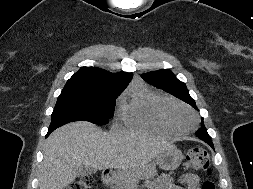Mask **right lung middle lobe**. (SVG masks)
<instances>
[{
	"instance_id": "1",
	"label": "right lung middle lobe",
	"mask_w": 253,
	"mask_h": 189,
	"mask_svg": "<svg viewBox=\"0 0 253 189\" xmlns=\"http://www.w3.org/2000/svg\"><path fill=\"white\" fill-rule=\"evenodd\" d=\"M123 90H62L52 113L50 127L73 121L104 125L114 115L116 98Z\"/></svg>"
}]
</instances>
